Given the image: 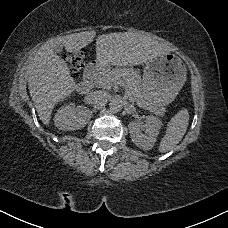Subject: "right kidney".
I'll list each match as a JSON object with an SVG mask.
<instances>
[{
	"instance_id": "obj_1",
	"label": "right kidney",
	"mask_w": 228,
	"mask_h": 228,
	"mask_svg": "<svg viewBox=\"0 0 228 228\" xmlns=\"http://www.w3.org/2000/svg\"><path fill=\"white\" fill-rule=\"evenodd\" d=\"M91 118L92 114L87 108L63 106L55 116V126L61 131L72 132L84 128Z\"/></svg>"
}]
</instances>
